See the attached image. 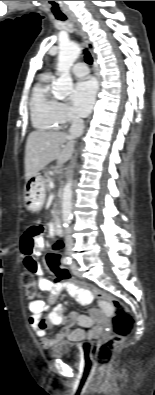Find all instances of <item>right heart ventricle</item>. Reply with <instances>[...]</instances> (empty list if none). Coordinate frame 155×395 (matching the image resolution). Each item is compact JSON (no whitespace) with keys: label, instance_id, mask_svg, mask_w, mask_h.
I'll return each instance as SVG.
<instances>
[{"label":"right heart ventricle","instance_id":"obj_1","mask_svg":"<svg viewBox=\"0 0 155 395\" xmlns=\"http://www.w3.org/2000/svg\"><path fill=\"white\" fill-rule=\"evenodd\" d=\"M53 76L43 74L35 84L31 99L30 113L33 126L38 130H56L61 127L57 115L59 102L51 92Z\"/></svg>","mask_w":155,"mask_h":395}]
</instances>
